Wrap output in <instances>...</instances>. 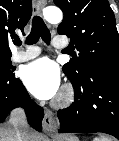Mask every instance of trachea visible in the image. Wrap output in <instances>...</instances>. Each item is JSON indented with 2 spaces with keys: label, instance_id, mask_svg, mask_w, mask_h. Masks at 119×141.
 Returning a JSON list of instances; mask_svg holds the SVG:
<instances>
[{
  "label": "trachea",
  "instance_id": "1",
  "mask_svg": "<svg viewBox=\"0 0 119 141\" xmlns=\"http://www.w3.org/2000/svg\"><path fill=\"white\" fill-rule=\"evenodd\" d=\"M40 37L45 43L48 45L50 44L51 35L49 29L41 17L35 16L32 20V30L29 36L26 38V43L29 45L35 44ZM15 44L20 46L22 42L17 40Z\"/></svg>",
  "mask_w": 119,
  "mask_h": 141
}]
</instances>
